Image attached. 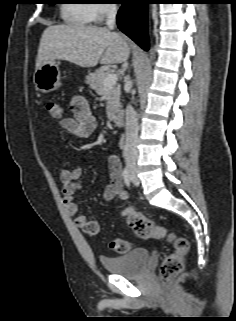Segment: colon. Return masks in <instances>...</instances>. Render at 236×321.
<instances>
[{
  "label": "colon",
  "mask_w": 236,
  "mask_h": 321,
  "mask_svg": "<svg viewBox=\"0 0 236 321\" xmlns=\"http://www.w3.org/2000/svg\"><path fill=\"white\" fill-rule=\"evenodd\" d=\"M46 110L51 119L59 121L62 117V107L55 101H47ZM128 226L139 239H168L173 245V251L165 256L160 265V276L164 283H169L178 277L184 269L183 257L189 248L188 241L180 236L169 233L145 215L126 208L122 211ZM110 248L117 253H127L130 243L126 239L115 238L110 242Z\"/></svg>",
  "instance_id": "5ec220e1"
}]
</instances>
